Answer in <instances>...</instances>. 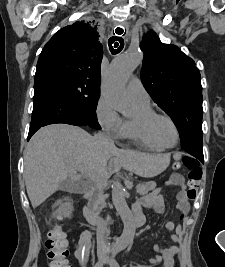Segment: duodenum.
I'll return each mask as SVG.
<instances>
[{
	"label": "duodenum",
	"mask_w": 225,
	"mask_h": 267,
	"mask_svg": "<svg viewBox=\"0 0 225 267\" xmlns=\"http://www.w3.org/2000/svg\"><path fill=\"white\" fill-rule=\"evenodd\" d=\"M135 217L126 222V226L130 229L137 228L143 225L144 218L141 214H138L137 210L134 208ZM84 215L87 220L99 224L101 227L105 226V221L94 211L90 205H85Z\"/></svg>",
	"instance_id": "duodenum-1"
}]
</instances>
